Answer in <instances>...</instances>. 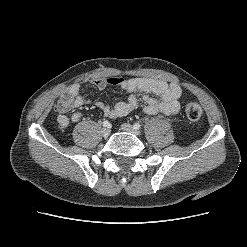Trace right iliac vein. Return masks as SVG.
Returning a JSON list of instances; mask_svg holds the SVG:
<instances>
[{"instance_id":"63e3f726","label":"right iliac vein","mask_w":247,"mask_h":247,"mask_svg":"<svg viewBox=\"0 0 247 247\" xmlns=\"http://www.w3.org/2000/svg\"><path fill=\"white\" fill-rule=\"evenodd\" d=\"M101 132L104 137H108L111 133V130L108 127H104Z\"/></svg>"}]
</instances>
